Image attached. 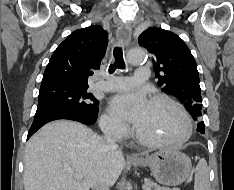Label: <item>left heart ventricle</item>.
Masks as SVG:
<instances>
[{
	"mask_svg": "<svg viewBox=\"0 0 234 190\" xmlns=\"http://www.w3.org/2000/svg\"><path fill=\"white\" fill-rule=\"evenodd\" d=\"M137 129L150 139H176L184 132V121L170 104L150 102Z\"/></svg>",
	"mask_w": 234,
	"mask_h": 190,
	"instance_id": "left-heart-ventricle-1",
	"label": "left heart ventricle"
}]
</instances>
